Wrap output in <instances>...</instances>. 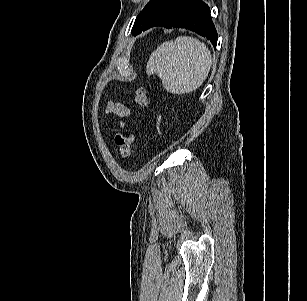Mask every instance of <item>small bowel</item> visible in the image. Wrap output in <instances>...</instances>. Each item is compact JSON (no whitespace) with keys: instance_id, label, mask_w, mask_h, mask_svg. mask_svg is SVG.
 Instances as JSON below:
<instances>
[{"instance_id":"obj_1","label":"small bowel","mask_w":307,"mask_h":301,"mask_svg":"<svg viewBox=\"0 0 307 301\" xmlns=\"http://www.w3.org/2000/svg\"><path fill=\"white\" fill-rule=\"evenodd\" d=\"M106 111L121 118H127L130 115L129 109L119 102H109Z\"/></svg>"}]
</instances>
